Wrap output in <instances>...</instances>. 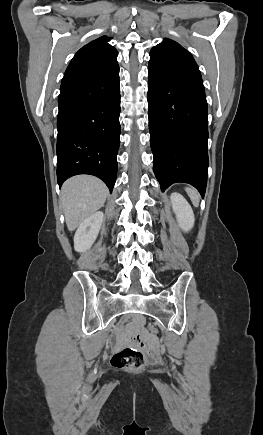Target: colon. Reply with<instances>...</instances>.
Instances as JSON below:
<instances>
[{
  "instance_id": "1",
  "label": "colon",
  "mask_w": 263,
  "mask_h": 435,
  "mask_svg": "<svg viewBox=\"0 0 263 435\" xmlns=\"http://www.w3.org/2000/svg\"><path fill=\"white\" fill-rule=\"evenodd\" d=\"M149 332H153L155 335L158 334L157 330H154L150 324L146 325ZM145 357L144 354L134 348H124L117 351L111 358V364L114 367L122 368L126 370H138L144 365Z\"/></svg>"
}]
</instances>
